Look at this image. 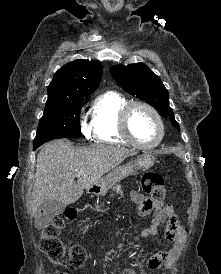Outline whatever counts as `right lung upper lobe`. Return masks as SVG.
Returning a JSON list of instances; mask_svg holds the SVG:
<instances>
[{"label": "right lung upper lobe", "mask_w": 221, "mask_h": 274, "mask_svg": "<svg viewBox=\"0 0 221 274\" xmlns=\"http://www.w3.org/2000/svg\"><path fill=\"white\" fill-rule=\"evenodd\" d=\"M102 65L98 61L77 59L65 64L48 86L47 101H60L90 95L98 87Z\"/></svg>", "instance_id": "right-lung-upper-lobe-1"}]
</instances>
